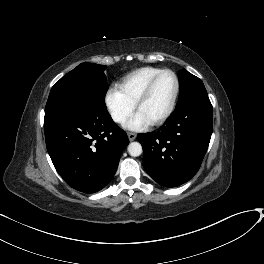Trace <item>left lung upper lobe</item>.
<instances>
[{
    "label": "left lung upper lobe",
    "mask_w": 264,
    "mask_h": 264,
    "mask_svg": "<svg viewBox=\"0 0 264 264\" xmlns=\"http://www.w3.org/2000/svg\"><path fill=\"white\" fill-rule=\"evenodd\" d=\"M180 95L176 107L194 96L208 95L203 82L187 70L179 71Z\"/></svg>",
    "instance_id": "obj_1"
}]
</instances>
